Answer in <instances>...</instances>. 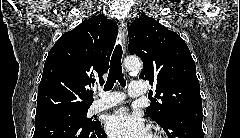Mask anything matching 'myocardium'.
<instances>
[{
  "instance_id": "f54148a6",
  "label": "myocardium",
  "mask_w": 240,
  "mask_h": 138,
  "mask_svg": "<svg viewBox=\"0 0 240 138\" xmlns=\"http://www.w3.org/2000/svg\"><path fill=\"white\" fill-rule=\"evenodd\" d=\"M154 136H155L154 138H162L161 134L159 133H155Z\"/></svg>"
}]
</instances>
